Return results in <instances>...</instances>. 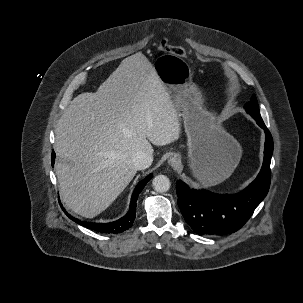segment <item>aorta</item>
Wrapping results in <instances>:
<instances>
[{
	"mask_svg": "<svg viewBox=\"0 0 303 303\" xmlns=\"http://www.w3.org/2000/svg\"><path fill=\"white\" fill-rule=\"evenodd\" d=\"M152 186L156 192H167L170 188V180L165 175H157L152 181Z\"/></svg>",
	"mask_w": 303,
	"mask_h": 303,
	"instance_id": "aorta-1",
	"label": "aorta"
}]
</instances>
